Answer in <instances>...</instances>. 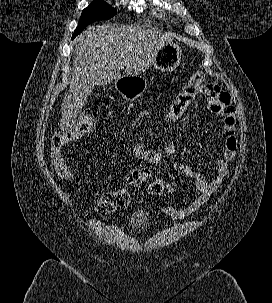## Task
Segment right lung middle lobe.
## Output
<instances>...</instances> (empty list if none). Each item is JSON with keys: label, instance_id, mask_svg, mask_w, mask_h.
<instances>
[{"label": "right lung middle lobe", "instance_id": "right-lung-middle-lobe-1", "mask_svg": "<svg viewBox=\"0 0 272 303\" xmlns=\"http://www.w3.org/2000/svg\"><path fill=\"white\" fill-rule=\"evenodd\" d=\"M117 11L103 0H94L87 8L82 11L81 18L76 30L73 33L74 38L84 30L86 26L97 20H107L114 16Z\"/></svg>", "mask_w": 272, "mask_h": 303}]
</instances>
